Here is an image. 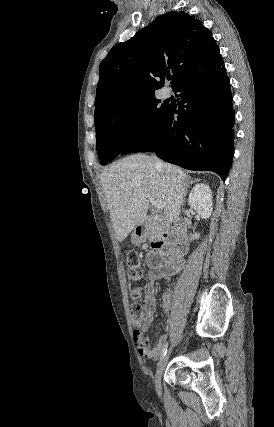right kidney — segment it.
<instances>
[{"label":"right kidney","mask_w":274,"mask_h":427,"mask_svg":"<svg viewBox=\"0 0 274 427\" xmlns=\"http://www.w3.org/2000/svg\"><path fill=\"white\" fill-rule=\"evenodd\" d=\"M188 204L200 217H204V219L210 217L213 210V196L209 186L207 184H196L191 190ZM191 237L198 239L200 233H194Z\"/></svg>","instance_id":"ca27d5eb"}]
</instances>
